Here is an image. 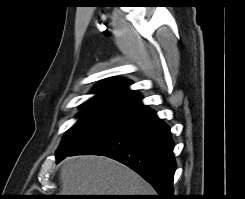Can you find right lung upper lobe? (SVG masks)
Returning <instances> with one entry per match:
<instances>
[{"mask_svg":"<svg viewBox=\"0 0 245 199\" xmlns=\"http://www.w3.org/2000/svg\"><path fill=\"white\" fill-rule=\"evenodd\" d=\"M131 83L113 78L99 84L92 93L94 97L86 101L82 108H92L105 112L131 116L148 109L141 102V96L129 89Z\"/></svg>","mask_w":245,"mask_h":199,"instance_id":"right-lung-upper-lobe-1","label":"right lung upper lobe"}]
</instances>
